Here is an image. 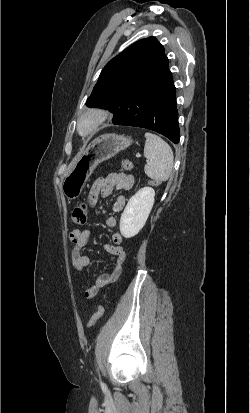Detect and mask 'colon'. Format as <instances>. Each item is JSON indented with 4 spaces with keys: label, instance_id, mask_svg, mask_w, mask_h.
<instances>
[{
    "label": "colon",
    "instance_id": "colon-1",
    "mask_svg": "<svg viewBox=\"0 0 250 413\" xmlns=\"http://www.w3.org/2000/svg\"><path fill=\"white\" fill-rule=\"evenodd\" d=\"M122 167L130 171L133 169V162L129 159L122 160ZM147 185L149 187H161L163 185V180L161 178H149L147 180ZM89 211V205L85 202L76 206L71 215V221L75 225H82L87 221ZM103 315V307L98 305L95 312L90 317L87 328H91Z\"/></svg>",
    "mask_w": 250,
    "mask_h": 413
}]
</instances>
